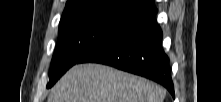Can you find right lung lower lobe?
Returning a JSON list of instances; mask_svg holds the SVG:
<instances>
[{"instance_id":"1","label":"right lung lower lobe","mask_w":221,"mask_h":102,"mask_svg":"<svg viewBox=\"0 0 221 102\" xmlns=\"http://www.w3.org/2000/svg\"><path fill=\"white\" fill-rule=\"evenodd\" d=\"M153 5L113 33L79 63L96 62L131 72L163 85L174 97L169 58L162 47V30Z\"/></svg>"}]
</instances>
